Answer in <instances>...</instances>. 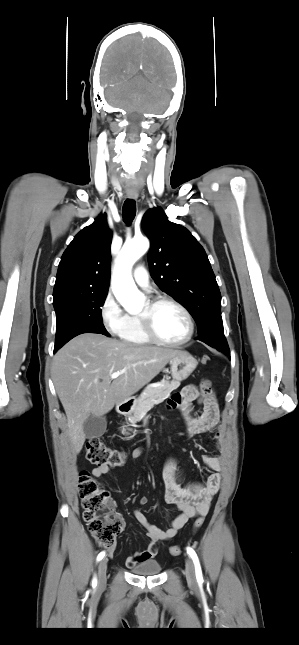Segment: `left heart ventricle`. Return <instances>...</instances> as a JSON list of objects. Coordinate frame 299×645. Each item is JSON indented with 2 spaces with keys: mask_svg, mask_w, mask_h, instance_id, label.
Returning <instances> with one entry per match:
<instances>
[{
  "mask_svg": "<svg viewBox=\"0 0 299 645\" xmlns=\"http://www.w3.org/2000/svg\"><path fill=\"white\" fill-rule=\"evenodd\" d=\"M145 303L141 312H144ZM153 326L156 333L166 340L182 339L188 331V323L184 314L171 304H161L156 307L152 314Z\"/></svg>",
  "mask_w": 299,
  "mask_h": 645,
  "instance_id": "left-heart-ventricle-1",
  "label": "left heart ventricle"
}]
</instances>
